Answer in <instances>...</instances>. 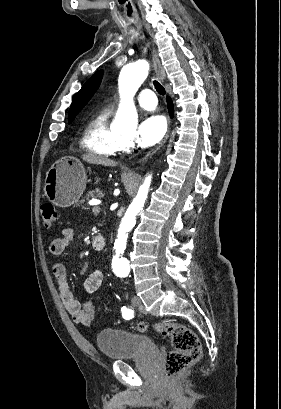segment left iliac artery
Wrapping results in <instances>:
<instances>
[{
    "instance_id": "1",
    "label": "left iliac artery",
    "mask_w": 281,
    "mask_h": 409,
    "mask_svg": "<svg viewBox=\"0 0 281 409\" xmlns=\"http://www.w3.org/2000/svg\"><path fill=\"white\" fill-rule=\"evenodd\" d=\"M121 311H122L123 318H125V319H132L133 318V315H134L133 310H131V309L127 308V307H122Z\"/></svg>"
}]
</instances>
